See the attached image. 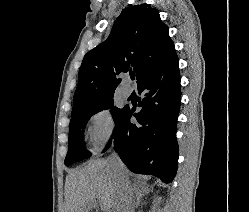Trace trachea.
I'll list each match as a JSON object with an SVG mask.
<instances>
[{
    "label": "trachea",
    "mask_w": 249,
    "mask_h": 212,
    "mask_svg": "<svg viewBox=\"0 0 249 212\" xmlns=\"http://www.w3.org/2000/svg\"><path fill=\"white\" fill-rule=\"evenodd\" d=\"M130 78H131L132 80H134V79H135V74H130Z\"/></svg>",
    "instance_id": "1"
}]
</instances>
